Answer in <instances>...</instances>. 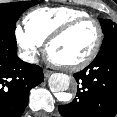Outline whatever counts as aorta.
Listing matches in <instances>:
<instances>
[{
	"mask_svg": "<svg viewBox=\"0 0 117 117\" xmlns=\"http://www.w3.org/2000/svg\"><path fill=\"white\" fill-rule=\"evenodd\" d=\"M71 78L63 73H54L49 78V87L56 94L59 101L68 102L71 99V94L66 93L70 88Z\"/></svg>",
	"mask_w": 117,
	"mask_h": 117,
	"instance_id": "aorta-1",
	"label": "aorta"
}]
</instances>
